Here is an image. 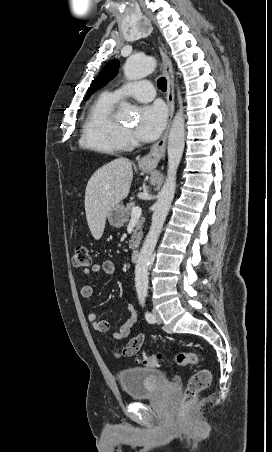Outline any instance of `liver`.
Segmentation results:
<instances>
[{
    "label": "liver",
    "instance_id": "6515ba94",
    "mask_svg": "<svg viewBox=\"0 0 272 452\" xmlns=\"http://www.w3.org/2000/svg\"><path fill=\"white\" fill-rule=\"evenodd\" d=\"M132 179V163L123 157L105 164L91 176L84 202L87 223L94 239L102 237L109 211L128 196Z\"/></svg>",
    "mask_w": 272,
    "mask_h": 452
}]
</instances>
